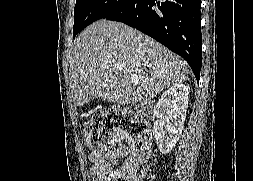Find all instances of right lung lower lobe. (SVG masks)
I'll list each match as a JSON object with an SVG mask.
<instances>
[{
    "mask_svg": "<svg viewBox=\"0 0 253 181\" xmlns=\"http://www.w3.org/2000/svg\"><path fill=\"white\" fill-rule=\"evenodd\" d=\"M201 0H127L105 18L123 22L182 56L199 81L202 65Z\"/></svg>",
    "mask_w": 253,
    "mask_h": 181,
    "instance_id": "obj_1",
    "label": "right lung lower lobe"
}]
</instances>
